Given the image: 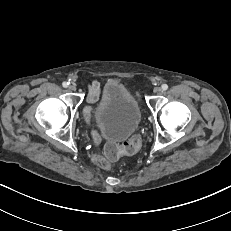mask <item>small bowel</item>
<instances>
[{
    "label": "small bowel",
    "mask_w": 231,
    "mask_h": 231,
    "mask_svg": "<svg viewBox=\"0 0 231 231\" xmlns=\"http://www.w3.org/2000/svg\"><path fill=\"white\" fill-rule=\"evenodd\" d=\"M100 98V84L97 81L91 82L89 85L87 100L90 105H94L98 102ZM91 107L86 109V115L89 117L91 112Z\"/></svg>",
    "instance_id": "obj_1"
}]
</instances>
